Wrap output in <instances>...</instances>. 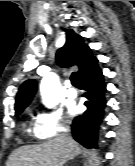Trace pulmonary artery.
I'll list each match as a JSON object with an SVG mask.
<instances>
[{"label": "pulmonary artery", "mask_w": 135, "mask_h": 166, "mask_svg": "<svg viewBox=\"0 0 135 166\" xmlns=\"http://www.w3.org/2000/svg\"><path fill=\"white\" fill-rule=\"evenodd\" d=\"M67 97L69 98H75L77 95V92L74 88L68 87L67 92H66Z\"/></svg>", "instance_id": "obj_1"}]
</instances>
